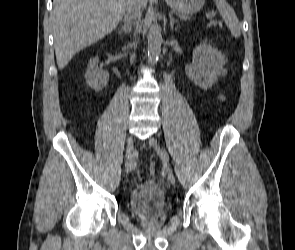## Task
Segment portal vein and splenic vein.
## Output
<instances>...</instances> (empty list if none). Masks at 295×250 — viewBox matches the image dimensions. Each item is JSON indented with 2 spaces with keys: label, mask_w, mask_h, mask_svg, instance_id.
<instances>
[{
  "label": "portal vein and splenic vein",
  "mask_w": 295,
  "mask_h": 250,
  "mask_svg": "<svg viewBox=\"0 0 295 250\" xmlns=\"http://www.w3.org/2000/svg\"><path fill=\"white\" fill-rule=\"evenodd\" d=\"M211 16H212L211 14H207V15H206L207 19H210Z\"/></svg>",
  "instance_id": "portal-vein-and-splenic-vein-1"
}]
</instances>
